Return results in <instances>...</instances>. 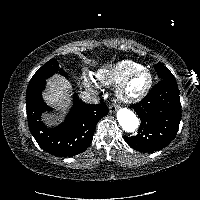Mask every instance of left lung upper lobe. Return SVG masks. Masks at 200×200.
<instances>
[{
  "label": "left lung upper lobe",
  "mask_w": 200,
  "mask_h": 200,
  "mask_svg": "<svg viewBox=\"0 0 200 200\" xmlns=\"http://www.w3.org/2000/svg\"><path fill=\"white\" fill-rule=\"evenodd\" d=\"M156 71L158 72V76L162 79H171L175 80L173 74L161 63H158L155 66Z\"/></svg>",
  "instance_id": "5c2ea615"
}]
</instances>
